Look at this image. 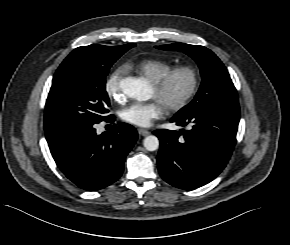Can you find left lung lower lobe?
<instances>
[{"label":"left lung lower lobe","mask_w":290,"mask_h":245,"mask_svg":"<svg viewBox=\"0 0 290 245\" xmlns=\"http://www.w3.org/2000/svg\"><path fill=\"white\" fill-rule=\"evenodd\" d=\"M240 116H229L213 109H199L173 117L180 132L156 130L160 140L157 157L160 176L169 184L190 190L212 181L226 166L236 143Z\"/></svg>","instance_id":"0a47b994"}]
</instances>
